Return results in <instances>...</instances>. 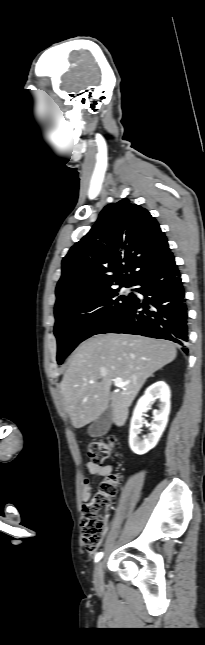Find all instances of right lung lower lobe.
I'll return each instance as SVG.
<instances>
[{
	"label": "right lung lower lobe",
	"mask_w": 205,
	"mask_h": 645,
	"mask_svg": "<svg viewBox=\"0 0 205 645\" xmlns=\"http://www.w3.org/2000/svg\"><path fill=\"white\" fill-rule=\"evenodd\" d=\"M132 286L144 295H133L120 317L103 333H126L173 341L186 348L188 313L181 274L174 256L142 273Z\"/></svg>",
	"instance_id": "obj_1"
}]
</instances>
